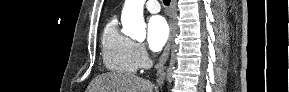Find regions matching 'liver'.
Segmentation results:
<instances>
[{
	"instance_id": "liver-1",
	"label": "liver",
	"mask_w": 289,
	"mask_h": 92,
	"mask_svg": "<svg viewBox=\"0 0 289 92\" xmlns=\"http://www.w3.org/2000/svg\"><path fill=\"white\" fill-rule=\"evenodd\" d=\"M153 84L141 77L109 72L95 77L87 92H153Z\"/></svg>"
}]
</instances>
